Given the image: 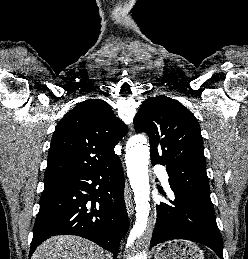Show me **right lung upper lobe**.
<instances>
[{
	"label": "right lung upper lobe",
	"mask_w": 248,
	"mask_h": 259,
	"mask_svg": "<svg viewBox=\"0 0 248 259\" xmlns=\"http://www.w3.org/2000/svg\"><path fill=\"white\" fill-rule=\"evenodd\" d=\"M126 133V125L107 102H81L53 133L44 181L106 165L116 156L114 148Z\"/></svg>",
	"instance_id": "obj_1"
}]
</instances>
